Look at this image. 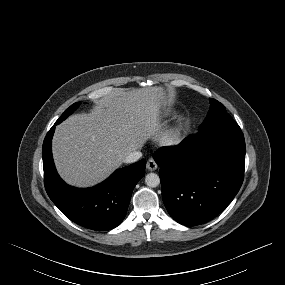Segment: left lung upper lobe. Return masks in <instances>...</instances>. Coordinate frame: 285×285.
Masks as SVG:
<instances>
[{"label":"left lung upper lobe","mask_w":285,"mask_h":285,"mask_svg":"<svg viewBox=\"0 0 285 285\" xmlns=\"http://www.w3.org/2000/svg\"><path fill=\"white\" fill-rule=\"evenodd\" d=\"M210 110L207 117L200 125L199 135H210L219 133H232L241 131L238 124L226 112L223 104L215 99H209Z\"/></svg>","instance_id":"5c2ea615"}]
</instances>
